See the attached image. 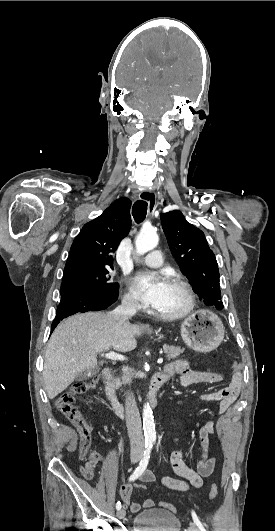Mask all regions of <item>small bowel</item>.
Masks as SVG:
<instances>
[{
  "instance_id": "small-bowel-1",
  "label": "small bowel",
  "mask_w": 275,
  "mask_h": 531,
  "mask_svg": "<svg viewBox=\"0 0 275 531\" xmlns=\"http://www.w3.org/2000/svg\"><path fill=\"white\" fill-rule=\"evenodd\" d=\"M165 372L168 377L177 376L179 384L182 387H189L194 384H219L223 382L224 376L218 372L210 371H195L190 369L188 363L184 360H176L166 365ZM242 385V374L234 372L231 376L228 386L222 390L226 392L225 396H221V392L204 393L200 399L204 402L220 400L219 413L224 414L236 401ZM215 423L213 420L206 421L198 432L200 455L196 462L195 468H191L187 464L186 453L182 449H176L171 452L168 463L171 469L179 476L186 479V481L165 476L161 479V483L167 489L174 491H188L191 487L200 488L203 485V479L209 477L215 468L216 457L210 453V436L214 433ZM81 449V447H80ZM88 459H98L100 462V453L93 451L90 453ZM85 479L87 477H94V475H82ZM139 479L143 480L145 484L152 483L156 480L155 474L150 470H142L139 474ZM135 486L126 485L122 488L120 497L125 505H128L129 510L133 514L141 511L142 507L151 509L154 502L151 499H146L143 504L132 502L131 497Z\"/></svg>"
}]
</instances>
